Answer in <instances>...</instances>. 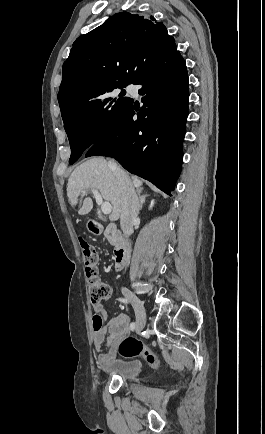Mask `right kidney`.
<instances>
[{
	"mask_svg": "<svg viewBox=\"0 0 265 434\" xmlns=\"http://www.w3.org/2000/svg\"><path fill=\"white\" fill-rule=\"evenodd\" d=\"M154 204H155V200H151V204L149 206L150 210H151V208H153Z\"/></svg>",
	"mask_w": 265,
	"mask_h": 434,
	"instance_id": "obj_1",
	"label": "right kidney"
}]
</instances>
